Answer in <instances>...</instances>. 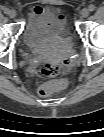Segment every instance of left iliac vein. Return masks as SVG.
Instances as JSON below:
<instances>
[{
	"label": "left iliac vein",
	"instance_id": "left-iliac-vein-1",
	"mask_svg": "<svg viewBox=\"0 0 104 137\" xmlns=\"http://www.w3.org/2000/svg\"><path fill=\"white\" fill-rule=\"evenodd\" d=\"M89 14H90L89 9L84 8V9L81 10V16H82L83 18H87V17L89 16Z\"/></svg>",
	"mask_w": 104,
	"mask_h": 137
}]
</instances>
